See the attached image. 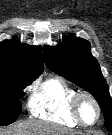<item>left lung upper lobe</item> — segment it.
<instances>
[{"mask_svg": "<svg viewBox=\"0 0 112 135\" xmlns=\"http://www.w3.org/2000/svg\"><path fill=\"white\" fill-rule=\"evenodd\" d=\"M46 66L88 91L98 101L105 126L112 131V99L97 60L91 54L89 41L68 36L55 47L44 46Z\"/></svg>", "mask_w": 112, "mask_h": 135, "instance_id": "obj_1", "label": "left lung upper lobe"}]
</instances>
